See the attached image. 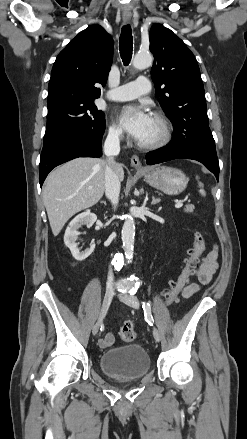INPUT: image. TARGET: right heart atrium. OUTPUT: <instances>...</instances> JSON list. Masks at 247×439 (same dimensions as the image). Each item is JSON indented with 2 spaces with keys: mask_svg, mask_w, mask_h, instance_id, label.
Wrapping results in <instances>:
<instances>
[{
  "mask_svg": "<svg viewBox=\"0 0 247 439\" xmlns=\"http://www.w3.org/2000/svg\"><path fill=\"white\" fill-rule=\"evenodd\" d=\"M123 135L122 128L117 123H112L109 127V136L112 138H121Z\"/></svg>",
  "mask_w": 247,
  "mask_h": 439,
  "instance_id": "d8ad5b80",
  "label": "right heart atrium"
}]
</instances>
